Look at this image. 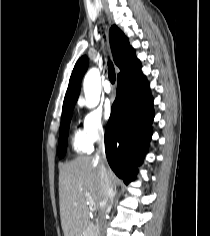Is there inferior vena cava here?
<instances>
[{
	"label": "inferior vena cava",
	"mask_w": 210,
	"mask_h": 236,
	"mask_svg": "<svg viewBox=\"0 0 210 236\" xmlns=\"http://www.w3.org/2000/svg\"><path fill=\"white\" fill-rule=\"evenodd\" d=\"M96 161L100 166L101 179H102V192L103 197L100 203L101 211L99 214V232L98 236H105L107 229L106 214L111 211L113 200L115 197L114 183L112 182L106 164L105 147L103 138L99 140V147L96 152Z\"/></svg>",
	"instance_id": "obj_1"
}]
</instances>
